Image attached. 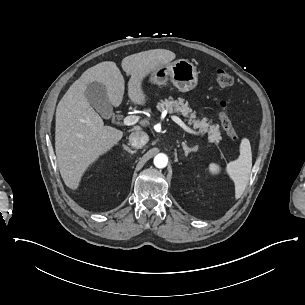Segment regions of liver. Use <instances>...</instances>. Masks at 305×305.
Returning <instances> with one entry per match:
<instances>
[{"label":"liver","mask_w":305,"mask_h":305,"mask_svg":"<svg viewBox=\"0 0 305 305\" xmlns=\"http://www.w3.org/2000/svg\"><path fill=\"white\" fill-rule=\"evenodd\" d=\"M176 54L164 49L140 52L123 58L121 68L130 78L127 94L133 106L145 107L149 96L144 89L146 80L156 70L169 66ZM105 87L114 108L121 107L124 98V79L115 62L106 61L87 69L66 92L57 109L56 157L65 185L79 190L83 176L92 165L117 146L125 132L104 126L101 116L86 99L91 83ZM150 117H141L130 132L149 128Z\"/></svg>","instance_id":"6515ba94"}]
</instances>
